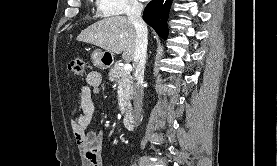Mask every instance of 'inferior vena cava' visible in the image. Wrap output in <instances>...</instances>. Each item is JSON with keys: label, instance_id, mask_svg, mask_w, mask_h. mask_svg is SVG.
Returning a JSON list of instances; mask_svg holds the SVG:
<instances>
[{"label": "inferior vena cava", "instance_id": "1", "mask_svg": "<svg viewBox=\"0 0 277 166\" xmlns=\"http://www.w3.org/2000/svg\"><path fill=\"white\" fill-rule=\"evenodd\" d=\"M143 6L141 3L133 0L127 13L128 20L136 29V46L134 51V84H133V100H134V117L138 122L142 113L143 106V76L146 64L148 29L147 25L141 17Z\"/></svg>", "mask_w": 277, "mask_h": 166}]
</instances>
